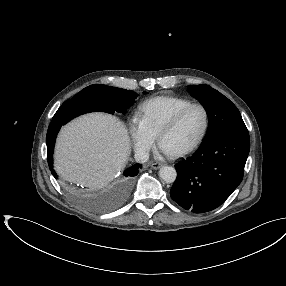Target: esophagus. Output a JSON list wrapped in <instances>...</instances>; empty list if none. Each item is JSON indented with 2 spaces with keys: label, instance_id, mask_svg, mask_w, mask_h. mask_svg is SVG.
Returning a JSON list of instances; mask_svg holds the SVG:
<instances>
[{
  "label": "esophagus",
  "instance_id": "34e87169",
  "mask_svg": "<svg viewBox=\"0 0 286 286\" xmlns=\"http://www.w3.org/2000/svg\"><path fill=\"white\" fill-rule=\"evenodd\" d=\"M150 166H151V168L157 170V169H160L163 166V164L158 163V162H154V163H151Z\"/></svg>",
  "mask_w": 286,
  "mask_h": 286
}]
</instances>
